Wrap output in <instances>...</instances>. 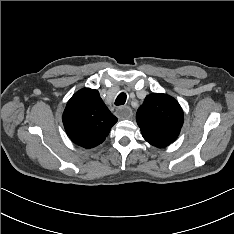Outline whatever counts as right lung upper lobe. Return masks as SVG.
<instances>
[{"label": "right lung upper lobe", "mask_w": 234, "mask_h": 234, "mask_svg": "<svg viewBox=\"0 0 234 234\" xmlns=\"http://www.w3.org/2000/svg\"><path fill=\"white\" fill-rule=\"evenodd\" d=\"M62 120L69 138L87 149L101 144L117 122L99 92L90 88H83L70 98Z\"/></svg>", "instance_id": "obj_1"}]
</instances>
